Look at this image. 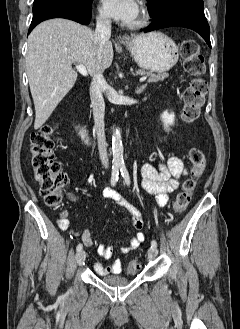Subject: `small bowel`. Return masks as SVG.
<instances>
[{"label":"small bowel","mask_w":240,"mask_h":329,"mask_svg":"<svg viewBox=\"0 0 240 329\" xmlns=\"http://www.w3.org/2000/svg\"><path fill=\"white\" fill-rule=\"evenodd\" d=\"M140 173L143 189L154 194L157 204L164 206L169 201L170 194L178 188L179 179L187 175V170L179 158L171 157L167 160L161 159L156 167L151 164H143L140 168ZM104 196L113 200L117 205L130 213L136 233L131 237L130 243L121 248V251L124 253L134 251L145 239V235L142 232L145 221L139 207L109 188L105 189ZM58 226L65 231L68 228V222L65 220L59 221ZM82 241L85 246L93 244L91 233L87 228L82 233ZM97 254L100 258L110 259L113 256V248L101 244L97 248ZM122 266L123 262L121 259H117L108 265H103L100 261H96L94 263V271L100 276L118 274L121 272Z\"/></svg>","instance_id":"obj_1"}]
</instances>
